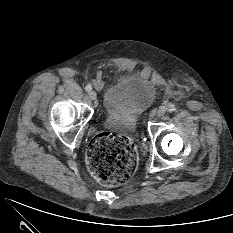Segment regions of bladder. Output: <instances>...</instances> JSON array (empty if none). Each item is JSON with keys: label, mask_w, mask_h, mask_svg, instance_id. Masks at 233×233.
Returning <instances> with one entry per match:
<instances>
[{"label": "bladder", "mask_w": 233, "mask_h": 233, "mask_svg": "<svg viewBox=\"0 0 233 233\" xmlns=\"http://www.w3.org/2000/svg\"><path fill=\"white\" fill-rule=\"evenodd\" d=\"M156 95L157 89L149 79L127 74L104 89L101 102L109 117L119 118L129 127L150 107Z\"/></svg>", "instance_id": "obj_1"}]
</instances>
